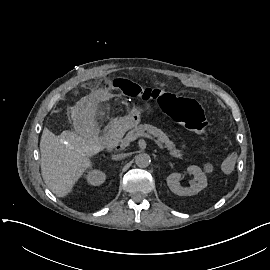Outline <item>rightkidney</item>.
Segmentation results:
<instances>
[{
	"label": "right kidney",
	"mask_w": 270,
	"mask_h": 270,
	"mask_svg": "<svg viewBox=\"0 0 270 270\" xmlns=\"http://www.w3.org/2000/svg\"><path fill=\"white\" fill-rule=\"evenodd\" d=\"M87 182L93 186H99L106 179L105 173L100 170H90L86 175Z\"/></svg>",
	"instance_id": "right-kidney-1"
}]
</instances>
